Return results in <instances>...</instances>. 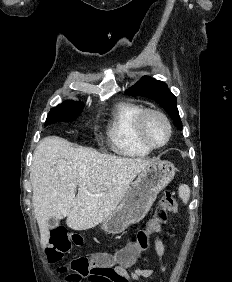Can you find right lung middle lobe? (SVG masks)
Listing matches in <instances>:
<instances>
[{
	"label": "right lung middle lobe",
	"mask_w": 232,
	"mask_h": 282,
	"mask_svg": "<svg viewBox=\"0 0 232 282\" xmlns=\"http://www.w3.org/2000/svg\"><path fill=\"white\" fill-rule=\"evenodd\" d=\"M83 109L80 102L70 101L62 103L54 108L48 114L45 126L57 122H71L78 117Z\"/></svg>",
	"instance_id": "right-lung-middle-lobe-1"
}]
</instances>
